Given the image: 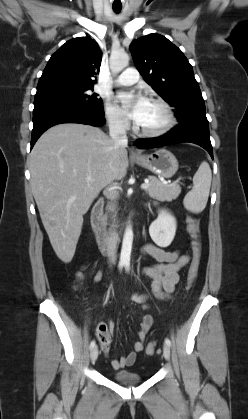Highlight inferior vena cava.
Wrapping results in <instances>:
<instances>
[{
	"label": "inferior vena cava",
	"mask_w": 248,
	"mask_h": 419,
	"mask_svg": "<svg viewBox=\"0 0 248 419\" xmlns=\"http://www.w3.org/2000/svg\"><path fill=\"white\" fill-rule=\"evenodd\" d=\"M109 135L116 148L127 146L128 139L126 135V129L123 124V121L119 119L118 117H111L109 119ZM115 227L116 225L112 226L111 229L109 230V238H108V256H109L110 262L112 263H114L115 258H116L117 240H118V234Z\"/></svg>",
	"instance_id": "1"
}]
</instances>
